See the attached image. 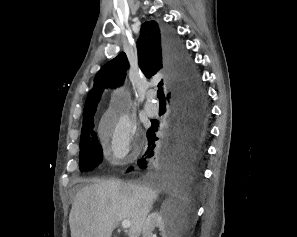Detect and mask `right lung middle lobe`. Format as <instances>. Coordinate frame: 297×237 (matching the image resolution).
<instances>
[{
    "mask_svg": "<svg viewBox=\"0 0 297 237\" xmlns=\"http://www.w3.org/2000/svg\"><path fill=\"white\" fill-rule=\"evenodd\" d=\"M102 150L98 144L93 125L82 129L79 166L81 171L90 170L101 163Z\"/></svg>",
    "mask_w": 297,
    "mask_h": 237,
    "instance_id": "dd1d6c3e",
    "label": "right lung middle lobe"
}]
</instances>
